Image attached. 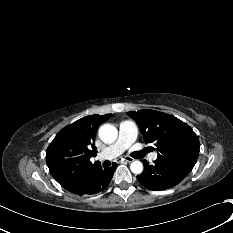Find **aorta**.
<instances>
[{"instance_id": "aorta-1", "label": "aorta", "mask_w": 233, "mask_h": 233, "mask_svg": "<svg viewBox=\"0 0 233 233\" xmlns=\"http://www.w3.org/2000/svg\"><path fill=\"white\" fill-rule=\"evenodd\" d=\"M117 135V128L111 124H104L99 128V137L104 143H113L117 139ZM130 170L134 174H141L143 172V163L138 160L133 161Z\"/></svg>"}]
</instances>
